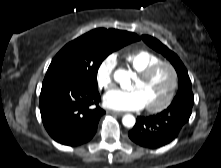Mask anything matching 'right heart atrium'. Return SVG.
<instances>
[{
  "label": "right heart atrium",
  "mask_w": 221,
  "mask_h": 168,
  "mask_svg": "<svg viewBox=\"0 0 221 168\" xmlns=\"http://www.w3.org/2000/svg\"><path fill=\"white\" fill-rule=\"evenodd\" d=\"M117 66L116 56L110 54L99 64L96 71L97 85L101 90H109L114 86V71Z\"/></svg>",
  "instance_id": "obj_1"
}]
</instances>
